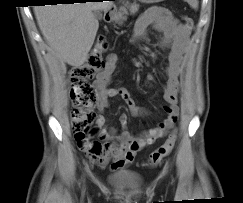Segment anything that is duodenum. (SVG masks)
I'll return each instance as SVG.
<instances>
[{
    "mask_svg": "<svg viewBox=\"0 0 243 203\" xmlns=\"http://www.w3.org/2000/svg\"><path fill=\"white\" fill-rule=\"evenodd\" d=\"M112 16H113V9L110 8V9H107L104 13V21L109 23L112 21Z\"/></svg>",
    "mask_w": 243,
    "mask_h": 203,
    "instance_id": "obj_1",
    "label": "duodenum"
}]
</instances>
